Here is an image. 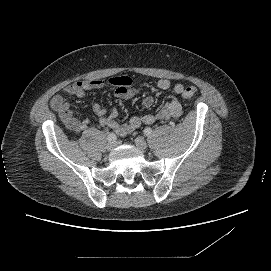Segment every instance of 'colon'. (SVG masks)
<instances>
[{"label": "colon", "instance_id": "1", "mask_svg": "<svg viewBox=\"0 0 271 271\" xmlns=\"http://www.w3.org/2000/svg\"><path fill=\"white\" fill-rule=\"evenodd\" d=\"M198 93L197 88L195 87H187L183 91V97L184 98H192Z\"/></svg>", "mask_w": 271, "mask_h": 271}]
</instances>
